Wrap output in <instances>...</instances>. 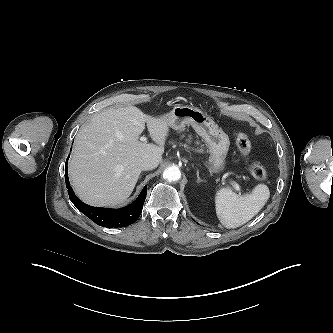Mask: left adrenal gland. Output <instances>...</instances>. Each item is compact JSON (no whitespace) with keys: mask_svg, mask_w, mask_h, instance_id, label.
<instances>
[{"mask_svg":"<svg viewBox=\"0 0 333 333\" xmlns=\"http://www.w3.org/2000/svg\"><path fill=\"white\" fill-rule=\"evenodd\" d=\"M196 175H197V183L205 182V180H202V179L199 177V170L196 171Z\"/></svg>","mask_w":333,"mask_h":333,"instance_id":"obj_1","label":"left adrenal gland"}]
</instances>
